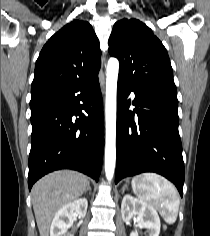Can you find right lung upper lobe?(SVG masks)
<instances>
[{
  "label": "right lung upper lobe",
  "instance_id": "obj_1",
  "mask_svg": "<svg viewBox=\"0 0 210 236\" xmlns=\"http://www.w3.org/2000/svg\"><path fill=\"white\" fill-rule=\"evenodd\" d=\"M100 66L101 51L93 28L86 21L74 20L42 48L31 93L44 88L62 92L98 74Z\"/></svg>",
  "mask_w": 210,
  "mask_h": 236
}]
</instances>
